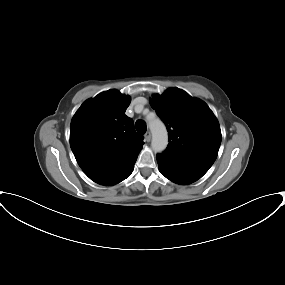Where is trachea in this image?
<instances>
[{
  "instance_id": "obj_1",
  "label": "trachea",
  "mask_w": 285,
  "mask_h": 285,
  "mask_svg": "<svg viewBox=\"0 0 285 285\" xmlns=\"http://www.w3.org/2000/svg\"><path fill=\"white\" fill-rule=\"evenodd\" d=\"M135 128L140 134H144L147 130L146 124L143 120H137L135 123Z\"/></svg>"
}]
</instances>
